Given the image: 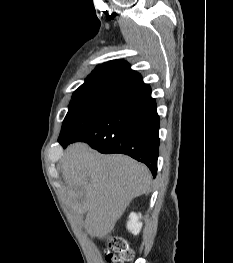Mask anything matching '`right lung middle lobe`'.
Segmentation results:
<instances>
[{"label":"right lung middle lobe","mask_w":233,"mask_h":263,"mask_svg":"<svg viewBox=\"0 0 233 263\" xmlns=\"http://www.w3.org/2000/svg\"><path fill=\"white\" fill-rule=\"evenodd\" d=\"M116 98V95L108 94L73 95L59 140L74 139L87 130L105 114Z\"/></svg>","instance_id":"dd1d6c3e"}]
</instances>
